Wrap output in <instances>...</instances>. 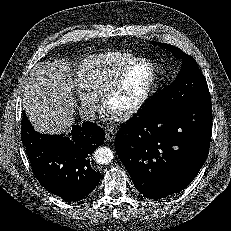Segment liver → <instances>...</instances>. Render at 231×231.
I'll use <instances>...</instances> for the list:
<instances>
[{"instance_id":"1","label":"liver","mask_w":231,"mask_h":231,"mask_svg":"<svg viewBox=\"0 0 231 231\" xmlns=\"http://www.w3.org/2000/svg\"><path fill=\"white\" fill-rule=\"evenodd\" d=\"M62 61L37 63L24 81L23 107L36 131L57 134L74 124L75 98Z\"/></svg>"}]
</instances>
